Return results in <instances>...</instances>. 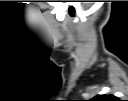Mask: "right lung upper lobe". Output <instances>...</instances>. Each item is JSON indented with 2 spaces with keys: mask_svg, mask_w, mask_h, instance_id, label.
<instances>
[{
  "mask_svg": "<svg viewBox=\"0 0 128 101\" xmlns=\"http://www.w3.org/2000/svg\"><path fill=\"white\" fill-rule=\"evenodd\" d=\"M97 101H117V98L113 95H98L95 97Z\"/></svg>",
  "mask_w": 128,
  "mask_h": 101,
  "instance_id": "cb5924a9",
  "label": "right lung upper lobe"
}]
</instances>
